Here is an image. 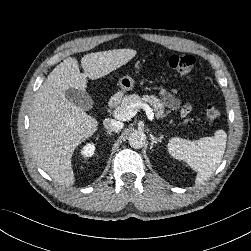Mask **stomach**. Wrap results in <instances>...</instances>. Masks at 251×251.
<instances>
[{
	"instance_id": "stomach-1",
	"label": "stomach",
	"mask_w": 251,
	"mask_h": 251,
	"mask_svg": "<svg viewBox=\"0 0 251 251\" xmlns=\"http://www.w3.org/2000/svg\"><path fill=\"white\" fill-rule=\"evenodd\" d=\"M119 85H120L121 91L118 94L123 95L125 92L133 89L135 85V81L130 76H124L119 80Z\"/></svg>"
}]
</instances>
